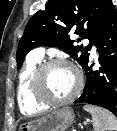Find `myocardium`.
Returning a JSON list of instances; mask_svg holds the SVG:
<instances>
[{"instance_id":"f54148a6","label":"myocardium","mask_w":117,"mask_h":131,"mask_svg":"<svg viewBox=\"0 0 117 131\" xmlns=\"http://www.w3.org/2000/svg\"><path fill=\"white\" fill-rule=\"evenodd\" d=\"M66 66L70 68L76 75L77 84L74 91L66 98L63 99H53L49 97L44 89V79L47 71L53 67ZM83 88V76L79 69L64 59H50L41 63L35 70L32 81H31V92L34 99L45 106H62L74 101Z\"/></svg>"}]
</instances>
